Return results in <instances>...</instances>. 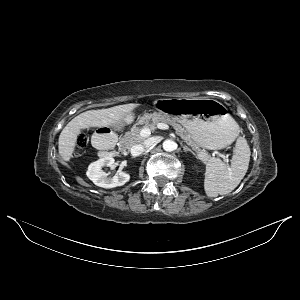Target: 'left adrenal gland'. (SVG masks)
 <instances>
[{
  "label": "left adrenal gland",
  "instance_id": "obj_1",
  "mask_svg": "<svg viewBox=\"0 0 300 300\" xmlns=\"http://www.w3.org/2000/svg\"><path fill=\"white\" fill-rule=\"evenodd\" d=\"M183 150H184L185 152H191L196 158H198V156L194 153V151L191 150L188 146L183 145Z\"/></svg>",
  "mask_w": 300,
  "mask_h": 300
}]
</instances>
